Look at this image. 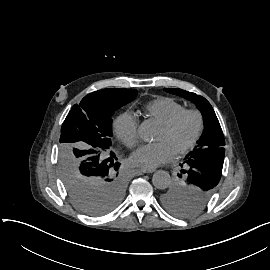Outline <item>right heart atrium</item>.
Wrapping results in <instances>:
<instances>
[{"mask_svg": "<svg viewBox=\"0 0 270 270\" xmlns=\"http://www.w3.org/2000/svg\"><path fill=\"white\" fill-rule=\"evenodd\" d=\"M114 133L127 148L132 149L139 144L138 121L129 112L121 114L116 119Z\"/></svg>", "mask_w": 270, "mask_h": 270, "instance_id": "1", "label": "right heart atrium"}]
</instances>
